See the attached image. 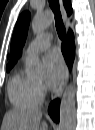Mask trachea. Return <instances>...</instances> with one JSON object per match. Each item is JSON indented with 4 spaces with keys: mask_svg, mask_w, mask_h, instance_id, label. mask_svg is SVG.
Instances as JSON below:
<instances>
[{
    "mask_svg": "<svg viewBox=\"0 0 95 130\" xmlns=\"http://www.w3.org/2000/svg\"><path fill=\"white\" fill-rule=\"evenodd\" d=\"M49 6L51 7L52 11L55 15V25L58 36L60 39H64L66 36V29L64 27L60 9H59V1L58 0H49Z\"/></svg>",
    "mask_w": 95,
    "mask_h": 130,
    "instance_id": "trachea-1",
    "label": "trachea"
}]
</instances>
